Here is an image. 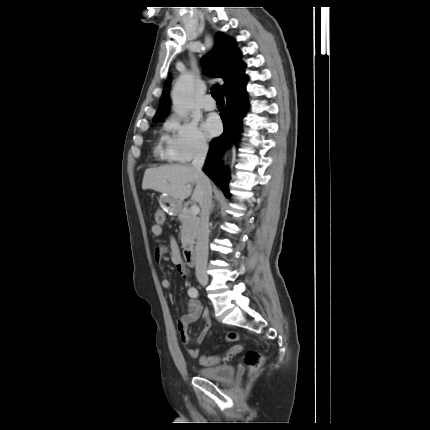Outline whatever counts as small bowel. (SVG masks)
Wrapping results in <instances>:
<instances>
[{
    "label": "small bowel",
    "instance_id": "1",
    "mask_svg": "<svg viewBox=\"0 0 430 430\" xmlns=\"http://www.w3.org/2000/svg\"><path fill=\"white\" fill-rule=\"evenodd\" d=\"M151 232L155 237H159L162 234V227L160 225H153L151 228ZM170 252L171 261L176 265L177 271L181 274V276L187 280L190 278V270L184 265L181 253L178 249V245L176 240L171 237L169 241V247L165 245H159L155 249V260L160 263L167 252ZM161 286L164 289H168L171 287V281L168 278L161 279ZM171 298V296H170ZM188 312L187 314L181 316L177 321V329L180 335L182 342L185 345H188L191 342V337L188 334V327L190 324L196 322L200 316L203 314L204 326L196 338V343L201 344L206 338L209 329L211 327V322L209 319V315L206 311H203L202 304L196 300L191 298L187 303ZM239 350H241V346H237ZM198 348H191L188 350V355L190 358L194 359L199 356Z\"/></svg>",
    "mask_w": 430,
    "mask_h": 430
}]
</instances>
